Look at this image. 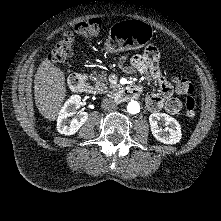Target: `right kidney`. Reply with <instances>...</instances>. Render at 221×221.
Listing matches in <instances>:
<instances>
[{
	"label": "right kidney",
	"instance_id": "right-kidney-1",
	"mask_svg": "<svg viewBox=\"0 0 221 221\" xmlns=\"http://www.w3.org/2000/svg\"><path fill=\"white\" fill-rule=\"evenodd\" d=\"M81 97L79 95L71 96L60 110L57 119V130L61 134L73 135L87 121L88 113L80 112L77 117L69 119L75 114V111L80 108Z\"/></svg>",
	"mask_w": 221,
	"mask_h": 221
}]
</instances>
